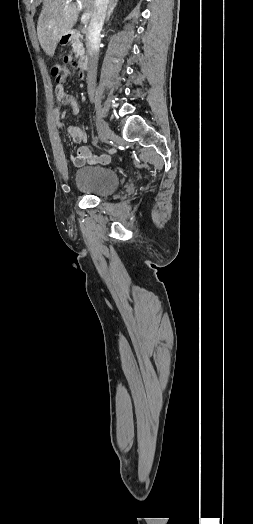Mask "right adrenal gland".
Instances as JSON below:
<instances>
[{
  "label": "right adrenal gland",
  "instance_id": "1",
  "mask_svg": "<svg viewBox=\"0 0 253 524\" xmlns=\"http://www.w3.org/2000/svg\"><path fill=\"white\" fill-rule=\"evenodd\" d=\"M117 4H118V0H110L108 11H107V16H106V20H105L106 22L109 21L110 16L113 13V11H114L115 7L117 6Z\"/></svg>",
  "mask_w": 253,
  "mask_h": 524
}]
</instances>
